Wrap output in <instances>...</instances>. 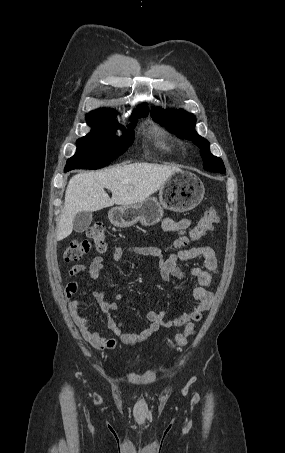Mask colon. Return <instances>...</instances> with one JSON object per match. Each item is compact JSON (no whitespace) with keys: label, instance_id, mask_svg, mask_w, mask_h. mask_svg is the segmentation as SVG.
<instances>
[{"label":"colon","instance_id":"5ec220e1","mask_svg":"<svg viewBox=\"0 0 285 453\" xmlns=\"http://www.w3.org/2000/svg\"><path fill=\"white\" fill-rule=\"evenodd\" d=\"M219 220L218 211L214 208L205 210L203 216L198 223L191 229L188 236L180 239L177 242L178 247L189 245L191 242L201 241L208 232H210L214 225ZM87 238L72 241L64 251V259L68 262L79 261L85 254H87L92 244L99 252L106 250V232L105 227L100 222L93 223L86 232ZM194 334L193 324H188L182 333L175 336L174 340L170 342L172 348L182 347L187 343L189 336Z\"/></svg>","mask_w":285,"mask_h":453}]
</instances>
